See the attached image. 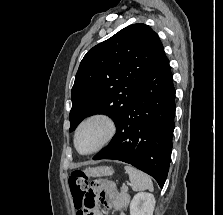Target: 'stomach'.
<instances>
[{
	"label": "stomach",
	"mask_w": 223,
	"mask_h": 215,
	"mask_svg": "<svg viewBox=\"0 0 223 215\" xmlns=\"http://www.w3.org/2000/svg\"><path fill=\"white\" fill-rule=\"evenodd\" d=\"M85 173L88 177H101V175H112L113 169L107 165H102V167H88L85 169Z\"/></svg>",
	"instance_id": "0dacf381"
}]
</instances>
